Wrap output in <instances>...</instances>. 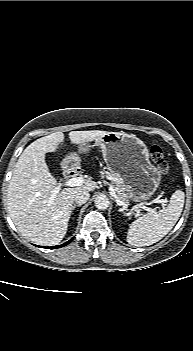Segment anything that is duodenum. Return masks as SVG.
I'll return each mask as SVG.
<instances>
[{
	"label": "duodenum",
	"instance_id": "obj_1",
	"mask_svg": "<svg viewBox=\"0 0 193 351\" xmlns=\"http://www.w3.org/2000/svg\"><path fill=\"white\" fill-rule=\"evenodd\" d=\"M64 170H65V174L68 176V177H75V176H77L78 174H79V169H78V167L74 164V163H72V164H66L65 165V168H64Z\"/></svg>",
	"mask_w": 193,
	"mask_h": 351
}]
</instances>
